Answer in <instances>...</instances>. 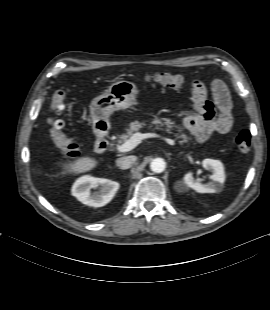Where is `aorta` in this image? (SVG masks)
<instances>
[{
	"label": "aorta",
	"mask_w": 270,
	"mask_h": 310,
	"mask_svg": "<svg viewBox=\"0 0 270 310\" xmlns=\"http://www.w3.org/2000/svg\"><path fill=\"white\" fill-rule=\"evenodd\" d=\"M150 168L154 173H161L166 168V163L162 158H155L150 163Z\"/></svg>",
	"instance_id": "obj_1"
}]
</instances>
